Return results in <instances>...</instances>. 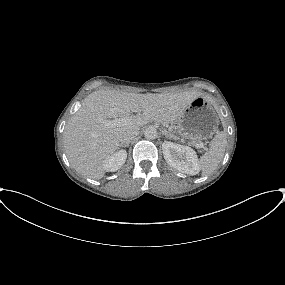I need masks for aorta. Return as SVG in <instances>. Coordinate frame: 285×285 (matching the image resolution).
Segmentation results:
<instances>
[{
	"label": "aorta",
	"mask_w": 285,
	"mask_h": 285,
	"mask_svg": "<svg viewBox=\"0 0 285 285\" xmlns=\"http://www.w3.org/2000/svg\"><path fill=\"white\" fill-rule=\"evenodd\" d=\"M144 136L148 140H153L157 138V130L154 127H148L144 131Z\"/></svg>",
	"instance_id": "obj_1"
}]
</instances>
